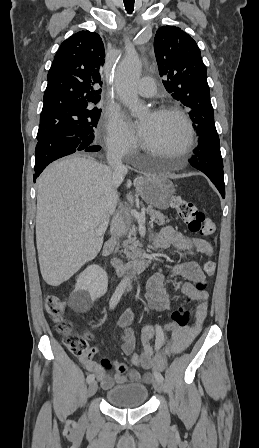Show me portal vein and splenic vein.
<instances>
[{
    "label": "portal vein and splenic vein",
    "mask_w": 259,
    "mask_h": 448,
    "mask_svg": "<svg viewBox=\"0 0 259 448\" xmlns=\"http://www.w3.org/2000/svg\"><path fill=\"white\" fill-rule=\"evenodd\" d=\"M135 218H137V220H145L144 216H141V214H138V216H135ZM107 226H108V220H105V222H102L101 226H99L97 232H99L100 236L104 234Z\"/></svg>",
    "instance_id": "1"
}]
</instances>
